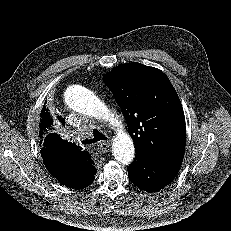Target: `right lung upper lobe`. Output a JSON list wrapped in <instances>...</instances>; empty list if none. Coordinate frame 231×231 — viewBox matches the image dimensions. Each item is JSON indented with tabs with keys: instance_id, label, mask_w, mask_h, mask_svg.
Listing matches in <instances>:
<instances>
[{
	"instance_id": "cb5924a9",
	"label": "right lung upper lobe",
	"mask_w": 231,
	"mask_h": 231,
	"mask_svg": "<svg viewBox=\"0 0 231 231\" xmlns=\"http://www.w3.org/2000/svg\"><path fill=\"white\" fill-rule=\"evenodd\" d=\"M40 116V145L45 167L63 185L76 189L87 187L91 164L85 160L89 153L54 132L57 125H64L62 117L55 119L45 105Z\"/></svg>"
}]
</instances>
